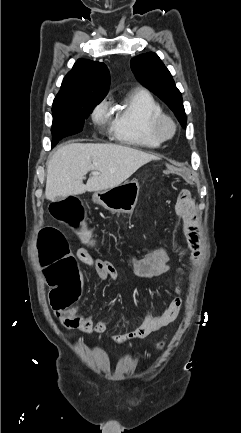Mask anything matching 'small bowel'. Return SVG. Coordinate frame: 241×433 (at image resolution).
<instances>
[{"instance_id": "small-bowel-1", "label": "small bowel", "mask_w": 241, "mask_h": 433, "mask_svg": "<svg viewBox=\"0 0 241 433\" xmlns=\"http://www.w3.org/2000/svg\"><path fill=\"white\" fill-rule=\"evenodd\" d=\"M176 211L184 223V232L190 250V260L193 265H196L201 258L202 245L196 207L188 190L183 189L180 191L176 202ZM77 257L81 262L92 266L101 280H117L118 274L111 262L103 259L93 260L85 248L79 249ZM168 262L169 255L165 249L161 248L141 259L138 262V268L152 275H160L169 268ZM176 293L177 296L169 302L162 314H148L134 331L122 335H110L109 337L119 343H124L144 339L169 325L177 318L182 305L179 288L176 289ZM55 315L65 328L69 330L77 329L86 335L103 334L111 327L108 321H95L93 316L81 314L76 308H72L68 312H55Z\"/></svg>"}]
</instances>
